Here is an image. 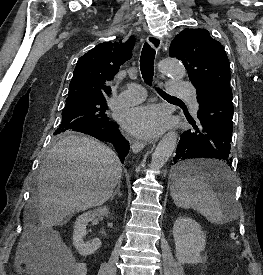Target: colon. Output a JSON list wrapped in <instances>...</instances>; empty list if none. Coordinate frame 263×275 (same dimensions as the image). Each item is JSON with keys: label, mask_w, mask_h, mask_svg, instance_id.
<instances>
[{"label": "colon", "mask_w": 263, "mask_h": 275, "mask_svg": "<svg viewBox=\"0 0 263 275\" xmlns=\"http://www.w3.org/2000/svg\"><path fill=\"white\" fill-rule=\"evenodd\" d=\"M49 254L51 256L50 271L56 275H82L83 266L71 260L65 252L58 246H52L49 248Z\"/></svg>", "instance_id": "5ec220e1"}]
</instances>
